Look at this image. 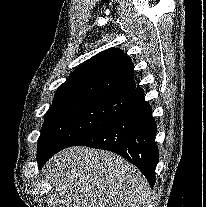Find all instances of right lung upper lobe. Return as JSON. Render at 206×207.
<instances>
[{"instance_id":"1","label":"right lung upper lobe","mask_w":206,"mask_h":207,"mask_svg":"<svg viewBox=\"0 0 206 207\" xmlns=\"http://www.w3.org/2000/svg\"><path fill=\"white\" fill-rule=\"evenodd\" d=\"M136 88L133 63L117 48L96 54L70 74L54 101L84 97L127 96Z\"/></svg>"}]
</instances>
